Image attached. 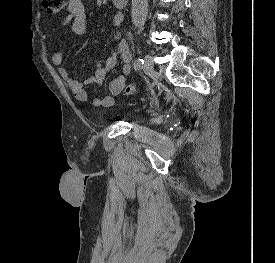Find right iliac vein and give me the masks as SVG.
Masks as SVG:
<instances>
[{
  "mask_svg": "<svg viewBox=\"0 0 275 263\" xmlns=\"http://www.w3.org/2000/svg\"><path fill=\"white\" fill-rule=\"evenodd\" d=\"M144 65L143 70L146 74H149L152 71L153 68V61L152 57L149 54H145L144 56Z\"/></svg>",
  "mask_w": 275,
  "mask_h": 263,
  "instance_id": "63e3f726",
  "label": "right iliac vein"
}]
</instances>
